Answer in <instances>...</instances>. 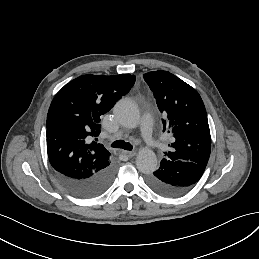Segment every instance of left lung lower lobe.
<instances>
[{
	"label": "left lung lower lobe",
	"instance_id": "left-lung-lower-lobe-1",
	"mask_svg": "<svg viewBox=\"0 0 259 259\" xmlns=\"http://www.w3.org/2000/svg\"><path fill=\"white\" fill-rule=\"evenodd\" d=\"M204 166L190 161L164 158L160 167L147 176L148 186L166 197H179L189 192L205 171Z\"/></svg>",
	"mask_w": 259,
	"mask_h": 259
}]
</instances>
